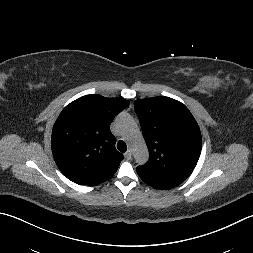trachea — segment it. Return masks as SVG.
I'll return each mask as SVG.
<instances>
[{"instance_id":"3493384b","label":"trachea","mask_w":253,"mask_h":253,"mask_svg":"<svg viewBox=\"0 0 253 253\" xmlns=\"http://www.w3.org/2000/svg\"><path fill=\"white\" fill-rule=\"evenodd\" d=\"M117 148L120 152H126L127 150V145L124 141L120 140L118 143H117Z\"/></svg>"}]
</instances>
